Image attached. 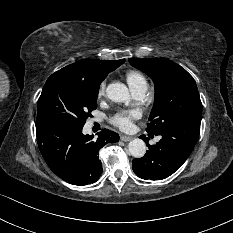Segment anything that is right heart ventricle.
I'll return each instance as SVG.
<instances>
[{"mask_svg": "<svg viewBox=\"0 0 233 233\" xmlns=\"http://www.w3.org/2000/svg\"><path fill=\"white\" fill-rule=\"evenodd\" d=\"M125 77L132 91L147 89V79L143 73L131 70L126 73Z\"/></svg>", "mask_w": 233, "mask_h": 233, "instance_id": "obj_1", "label": "right heart ventricle"}]
</instances>
